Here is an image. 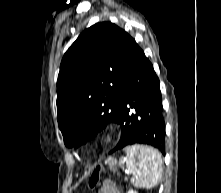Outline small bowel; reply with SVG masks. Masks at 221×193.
I'll return each mask as SVG.
<instances>
[{
	"instance_id": "1",
	"label": "small bowel",
	"mask_w": 221,
	"mask_h": 193,
	"mask_svg": "<svg viewBox=\"0 0 221 193\" xmlns=\"http://www.w3.org/2000/svg\"><path fill=\"white\" fill-rule=\"evenodd\" d=\"M98 193H119L117 187L110 182H106L98 191Z\"/></svg>"
}]
</instances>
